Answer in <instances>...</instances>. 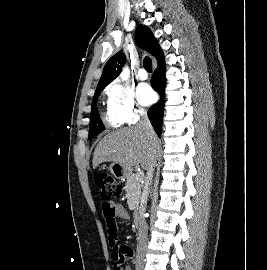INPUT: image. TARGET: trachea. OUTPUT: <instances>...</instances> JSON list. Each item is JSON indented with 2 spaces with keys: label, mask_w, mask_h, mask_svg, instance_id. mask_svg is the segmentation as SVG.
Returning <instances> with one entry per match:
<instances>
[{
  "label": "trachea",
  "mask_w": 267,
  "mask_h": 270,
  "mask_svg": "<svg viewBox=\"0 0 267 270\" xmlns=\"http://www.w3.org/2000/svg\"><path fill=\"white\" fill-rule=\"evenodd\" d=\"M143 66L148 72H152V60L149 57H145Z\"/></svg>",
  "instance_id": "3493384b"
}]
</instances>
